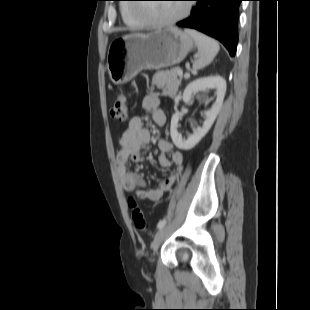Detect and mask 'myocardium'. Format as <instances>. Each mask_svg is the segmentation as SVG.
Listing matches in <instances>:
<instances>
[{
    "mask_svg": "<svg viewBox=\"0 0 310 310\" xmlns=\"http://www.w3.org/2000/svg\"><path fill=\"white\" fill-rule=\"evenodd\" d=\"M190 10H191V5L186 4L183 7V11L179 15L169 20H157L147 15H143L141 14L140 10L135 7L132 8V14L137 19L142 20L147 27L164 28V27H169L171 25H174L178 23L179 21H181L182 19H184L186 16H188V14L190 13Z\"/></svg>",
    "mask_w": 310,
    "mask_h": 310,
    "instance_id": "1",
    "label": "myocardium"
}]
</instances>
